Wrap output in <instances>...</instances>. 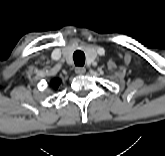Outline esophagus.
Returning a JSON list of instances; mask_svg holds the SVG:
<instances>
[{"label": "esophagus", "mask_w": 165, "mask_h": 156, "mask_svg": "<svg viewBox=\"0 0 165 156\" xmlns=\"http://www.w3.org/2000/svg\"><path fill=\"white\" fill-rule=\"evenodd\" d=\"M86 72V69L84 67H76L75 68V73L78 75H82Z\"/></svg>", "instance_id": "1"}]
</instances>
